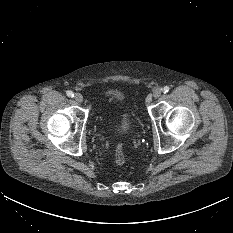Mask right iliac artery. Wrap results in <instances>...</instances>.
Masks as SVG:
<instances>
[{"instance_id":"82829eb1","label":"right iliac artery","mask_w":233,"mask_h":233,"mask_svg":"<svg viewBox=\"0 0 233 233\" xmlns=\"http://www.w3.org/2000/svg\"><path fill=\"white\" fill-rule=\"evenodd\" d=\"M67 96L68 97H74V93L72 91H67Z\"/></svg>"}]
</instances>
